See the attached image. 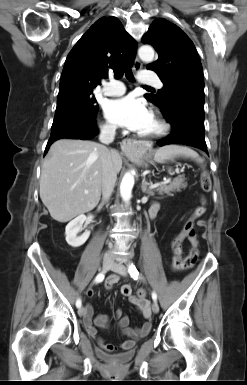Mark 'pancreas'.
Masks as SVG:
<instances>
[{
    "label": "pancreas",
    "instance_id": "cf45deb5",
    "mask_svg": "<svg viewBox=\"0 0 247 385\" xmlns=\"http://www.w3.org/2000/svg\"><path fill=\"white\" fill-rule=\"evenodd\" d=\"M185 180L186 179L184 175H179L174 178L171 182L156 187L155 191L158 192L159 195H171V192H179L181 191V189H185L187 187V183L185 182Z\"/></svg>",
    "mask_w": 247,
    "mask_h": 385
}]
</instances>
